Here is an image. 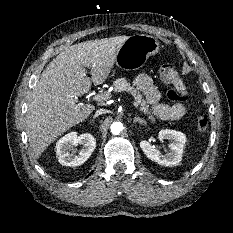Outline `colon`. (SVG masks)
I'll return each instance as SVG.
<instances>
[{
    "label": "colon",
    "instance_id": "1",
    "mask_svg": "<svg viewBox=\"0 0 233 233\" xmlns=\"http://www.w3.org/2000/svg\"><path fill=\"white\" fill-rule=\"evenodd\" d=\"M160 76L164 84L171 88L167 91V97L173 102H182L186 100L187 95L182 89L175 85L179 77L178 72L170 62H164L160 66ZM196 126L201 132H205L209 127V118L204 112H200L196 116Z\"/></svg>",
    "mask_w": 233,
    "mask_h": 233
}]
</instances>
